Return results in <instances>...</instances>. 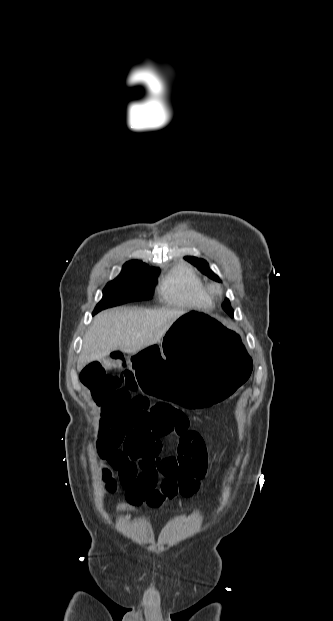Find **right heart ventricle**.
<instances>
[{"label":"right heart ventricle","instance_id":"obj_1","mask_svg":"<svg viewBox=\"0 0 333 621\" xmlns=\"http://www.w3.org/2000/svg\"><path fill=\"white\" fill-rule=\"evenodd\" d=\"M159 295L169 304L181 307L209 308L213 305L208 287L203 279L189 266H174L163 278Z\"/></svg>","mask_w":333,"mask_h":621}]
</instances>
